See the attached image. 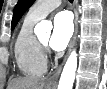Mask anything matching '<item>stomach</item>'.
I'll use <instances>...</instances> for the list:
<instances>
[{"instance_id":"1","label":"stomach","mask_w":107,"mask_h":89,"mask_svg":"<svg viewBox=\"0 0 107 89\" xmlns=\"http://www.w3.org/2000/svg\"><path fill=\"white\" fill-rule=\"evenodd\" d=\"M45 89H53L52 87L46 86Z\"/></svg>"}]
</instances>
